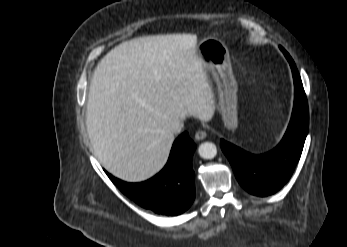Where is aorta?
<instances>
[{"mask_svg": "<svg viewBox=\"0 0 347 247\" xmlns=\"http://www.w3.org/2000/svg\"><path fill=\"white\" fill-rule=\"evenodd\" d=\"M198 153L203 159H213L217 155V147L212 142H204L199 146Z\"/></svg>", "mask_w": 347, "mask_h": 247, "instance_id": "1", "label": "aorta"}]
</instances>
